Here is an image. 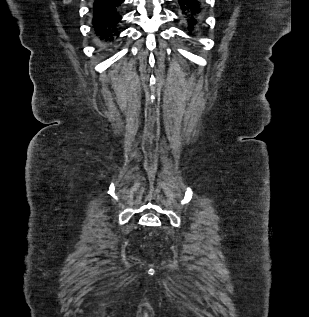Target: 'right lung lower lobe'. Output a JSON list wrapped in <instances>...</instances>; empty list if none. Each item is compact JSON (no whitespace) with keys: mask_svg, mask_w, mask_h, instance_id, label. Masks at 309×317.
I'll return each mask as SVG.
<instances>
[{"mask_svg":"<svg viewBox=\"0 0 309 317\" xmlns=\"http://www.w3.org/2000/svg\"><path fill=\"white\" fill-rule=\"evenodd\" d=\"M124 0H95L93 5V30L103 44H110L119 35L121 9Z\"/></svg>","mask_w":309,"mask_h":317,"instance_id":"98d812e1","label":"right lung lower lobe"}]
</instances>
